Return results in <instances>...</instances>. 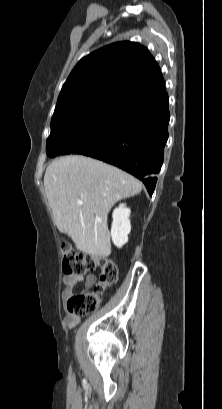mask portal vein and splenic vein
<instances>
[{
    "label": "portal vein and splenic vein",
    "instance_id": "portal-vein-and-splenic-vein-1",
    "mask_svg": "<svg viewBox=\"0 0 222 409\" xmlns=\"http://www.w3.org/2000/svg\"><path fill=\"white\" fill-rule=\"evenodd\" d=\"M77 204H78V205H82V204H83V200H78V201H77Z\"/></svg>",
    "mask_w": 222,
    "mask_h": 409
}]
</instances>
